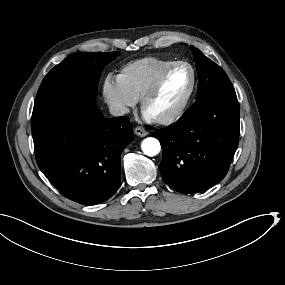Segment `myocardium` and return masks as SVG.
<instances>
[{
  "mask_svg": "<svg viewBox=\"0 0 285 285\" xmlns=\"http://www.w3.org/2000/svg\"><path fill=\"white\" fill-rule=\"evenodd\" d=\"M184 68L183 67H170L169 69H167L156 81V83L149 88L141 97H140V107L141 110L144 111L145 107L147 106L148 102L150 101V99L157 94L162 87L164 86V84L166 83V81L175 73L181 72L183 73ZM189 73L191 76V81L189 84V89L182 101V103L173 111L168 112L160 117H157L156 120L159 123H171L173 121H175L176 119H178L183 113L184 111L187 109L191 98H192V94L194 91V87H195V76L194 73L191 69H189Z\"/></svg>",
  "mask_w": 285,
  "mask_h": 285,
  "instance_id": "f54148a6",
  "label": "myocardium"
}]
</instances>
